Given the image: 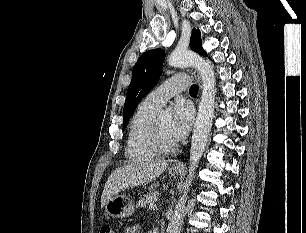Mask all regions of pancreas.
I'll list each match as a JSON object with an SVG mask.
<instances>
[{
    "instance_id": "pancreas-1",
    "label": "pancreas",
    "mask_w": 306,
    "mask_h": 233,
    "mask_svg": "<svg viewBox=\"0 0 306 233\" xmlns=\"http://www.w3.org/2000/svg\"><path fill=\"white\" fill-rule=\"evenodd\" d=\"M158 192H150L140 198L137 203V207H146L148 204H152L157 201Z\"/></svg>"
}]
</instances>
